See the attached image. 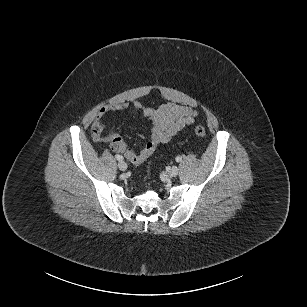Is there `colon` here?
<instances>
[{
	"mask_svg": "<svg viewBox=\"0 0 307 307\" xmlns=\"http://www.w3.org/2000/svg\"><path fill=\"white\" fill-rule=\"evenodd\" d=\"M194 132L200 138H203V137L206 136V130L201 125L196 126L195 129H194ZM109 140H110L111 148L114 151L118 152V151H121V150L124 149L125 143H124L123 139L119 135L111 134L110 137H109Z\"/></svg>",
	"mask_w": 307,
	"mask_h": 307,
	"instance_id": "5ec220e1",
	"label": "colon"
}]
</instances>
